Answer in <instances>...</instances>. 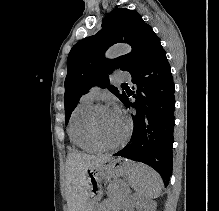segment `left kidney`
Listing matches in <instances>:
<instances>
[{
  "mask_svg": "<svg viewBox=\"0 0 219 211\" xmlns=\"http://www.w3.org/2000/svg\"><path fill=\"white\" fill-rule=\"evenodd\" d=\"M133 207H136L137 211H153V209H149L148 205H143L141 203V199L138 197H131Z\"/></svg>",
  "mask_w": 219,
  "mask_h": 211,
  "instance_id": "left-kidney-1",
  "label": "left kidney"
}]
</instances>
